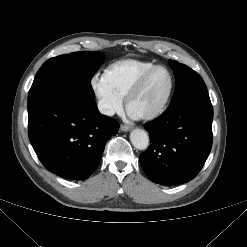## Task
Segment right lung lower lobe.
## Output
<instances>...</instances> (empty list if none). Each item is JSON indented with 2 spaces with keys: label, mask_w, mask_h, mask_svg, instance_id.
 Instances as JSON below:
<instances>
[{
  "label": "right lung lower lobe",
  "mask_w": 247,
  "mask_h": 247,
  "mask_svg": "<svg viewBox=\"0 0 247 247\" xmlns=\"http://www.w3.org/2000/svg\"><path fill=\"white\" fill-rule=\"evenodd\" d=\"M116 120L101 115L94 100L50 93L28 103V134L35 153L50 172L87 179L101 160Z\"/></svg>",
  "instance_id": "98d812e1"
}]
</instances>
